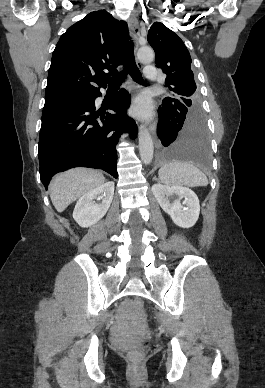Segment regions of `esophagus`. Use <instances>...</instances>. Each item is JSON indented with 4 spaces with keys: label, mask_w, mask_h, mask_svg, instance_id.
Segmentation results:
<instances>
[{
    "label": "esophagus",
    "mask_w": 265,
    "mask_h": 388,
    "mask_svg": "<svg viewBox=\"0 0 265 388\" xmlns=\"http://www.w3.org/2000/svg\"><path fill=\"white\" fill-rule=\"evenodd\" d=\"M128 25H129L130 30H131L132 35H133L134 49H135V51H137L138 46H139L138 36L140 34V27H139V22H138L137 18L133 17V16L130 17V19L128 20ZM137 66L139 68H142L141 63L138 62V61H137ZM149 130H150V133L152 134L154 140L156 141V146L159 147L160 146V142H159V140L156 137L155 128H154V125L152 123L149 125Z\"/></svg>",
    "instance_id": "34e87169"
}]
</instances>
